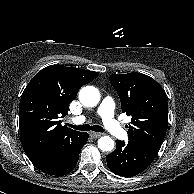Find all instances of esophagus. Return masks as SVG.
Returning <instances> with one entry per match:
<instances>
[{
    "instance_id": "obj_1",
    "label": "esophagus",
    "mask_w": 194,
    "mask_h": 194,
    "mask_svg": "<svg viewBox=\"0 0 194 194\" xmlns=\"http://www.w3.org/2000/svg\"><path fill=\"white\" fill-rule=\"evenodd\" d=\"M90 135H91V137H93V138H99V137H101L103 134H102V133H98V132H91Z\"/></svg>"
}]
</instances>
